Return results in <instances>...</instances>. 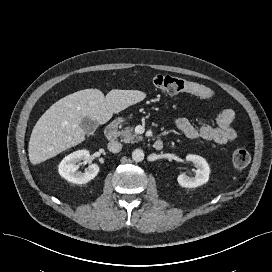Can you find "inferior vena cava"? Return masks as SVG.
<instances>
[{"mask_svg":"<svg viewBox=\"0 0 272 272\" xmlns=\"http://www.w3.org/2000/svg\"><path fill=\"white\" fill-rule=\"evenodd\" d=\"M107 147H108V150L112 153H118L122 149L121 143L117 141L109 142Z\"/></svg>","mask_w":272,"mask_h":272,"instance_id":"602c4592","label":"inferior vena cava"}]
</instances>
